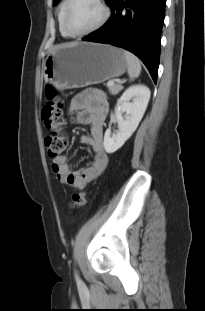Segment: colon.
<instances>
[{"label": "colon", "mask_w": 205, "mask_h": 311, "mask_svg": "<svg viewBox=\"0 0 205 311\" xmlns=\"http://www.w3.org/2000/svg\"><path fill=\"white\" fill-rule=\"evenodd\" d=\"M63 102L56 89L52 86L46 88V101L41 109V118L45 128L49 131L45 138V146L51 158L60 156L68 145V138L62 132L63 127ZM86 203V193L80 191L72 194L69 200V207L76 209Z\"/></svg>", "instance_id": "colon-1"}]
</instances>
